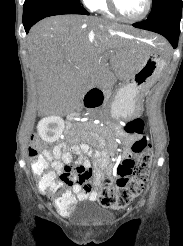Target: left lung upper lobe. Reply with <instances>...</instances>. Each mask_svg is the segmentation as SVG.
<instances>
[{"label":"left lung upper lobe","mask_w":183,"mask_h":246,"mask_svg":"<svg viewBox=\"0 0 183 246\" xmlns=\"http://www.w3.org/2000/svg\"><path fill=\"white\" fill-rule=\"evenodd\" d=\"M174 1H177V0H153L152 10L148 17L156 15L162 9H164L167 5H169L171 2H174Z\"/></svg>","instance_id":"obj_1"}]
</instances>
